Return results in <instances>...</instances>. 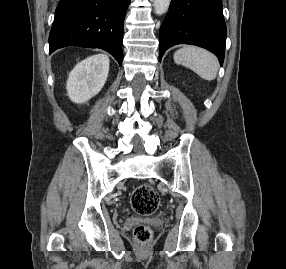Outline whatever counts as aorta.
<instances>
[{
	"label": "aorta",
	"instance_id": "762f6f07",
	"mask_svg": "<svg viewBox=\"0 0 286 269\" xmlns=\"http://www.w3.org/2000/svg\"><path fill=\"white\" fill-rule=\"evenodd\" d=\"M171 0H154V11L157 15L164 14L170 5Z\"/></svg>",
	"mask_w": 286,
	"mask_h": 269
}]
</instances>
